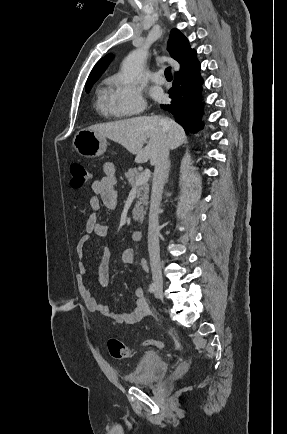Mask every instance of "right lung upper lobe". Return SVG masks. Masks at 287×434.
<instances>
[{
	"mask_svg": "<svg viewBox=\"0 0 287 434\" xmlns=\"http://www.w3.org/2000/svg\"><path fill=\"white\" fill-rule=\"evenodd\" d=\"M168 51L171 57L179 62L180 66L186 65L196 52L190 48L187 38L178 30L173 29L168 41ZM112 56L100 59L91 71L87 83L97 81L111 62Z\"/></svg>",
	"mask_w": 287,
	"mask_h": 434,
	"instance_id": "obj_1",
	"label": "right lung upper lobe"
}]
</instances>
